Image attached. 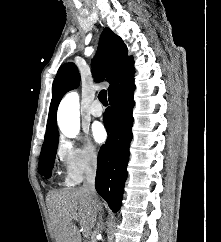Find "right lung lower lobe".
Here are the masks:
<instances>
[{
  "mask_svg": "<svg viewBox=\"0 0 221 242\" xmlns=\"http://www.w3.org/2000/svg\"><path fill=\"white\" fill-rule=\"evenodd\" d=\"M134 90L132 74L124 78L111 92V107L103 117L109 133L98 154L95 188L113 212L120 209L127 178Z\"/></svg>",
  "mask_w": 221,
  "mask_h": 242,
  "instance_id": "obj_1",
  "label": "right lung lower lobe"
}]
</instances>
